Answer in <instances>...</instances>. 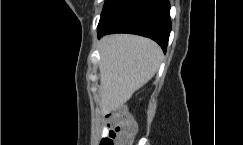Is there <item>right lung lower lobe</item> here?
Masks as SVG:
<instances>
[{
    "label": "right lung lower lobe",
    "instance_id": "98d812e1",
    "mask_svg": "<svg viewBox=\"0 0 243 145\" xmlns=\"http://www.w3.org/2000/svg\"><path fill=\"white\" fill-rule=\"evenodd\" d=\"M171 31L168 0H106L98 36L133 33L156 41L166 52Z\"/></svg>",
    "mask_w": 243,
    "mask_h": 145
}]
</instances>
